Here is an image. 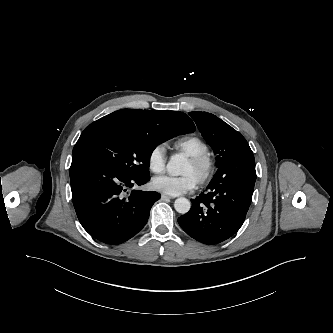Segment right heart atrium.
Masks as SVG:
<instances>
[{"label":"right heart atrium","mask_w":333,"mask_h":333,"mask_svg":"<svg viewBox=\"0 0 333 333\" xmlns=\"http://www.w3.org/2000/svg\"><path fill=\"white\" fill-rule=\"evenodd\" d=\"M165 149L161 145L155 146L148 155L147 164L151 172L161 174L166 169Z\"/></svg>","instance_id":"d8ad5b80"}]
</instances>
